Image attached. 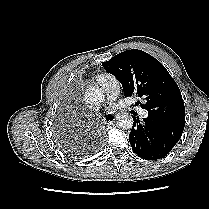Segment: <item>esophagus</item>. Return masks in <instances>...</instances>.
<instances>
[{"label":"esophagus","mask_w":209,"mask_h":209,"mask_svg":"<svg viewBox=\"0 0 209 209\" xmlns=\"http://www.w3.org/2000/svg\"><path fill=\"white\" fill-rule=\"evenodd\" d=\"M106 118H108V120H105V123L112 124L115 121L116 116L108 115Z\"/></svg>","instance_id":"1"}]
</instances>
